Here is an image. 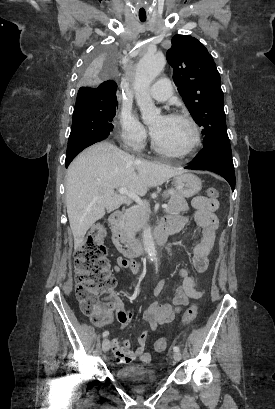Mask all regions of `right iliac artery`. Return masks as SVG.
Here are the masks:
<instances>
[{
	"label": "right iliac artery",
	"instance_id": "82829eb1",
	"mask_svg": "<svg viewBox=\"0 0 275 409\" xmlns=\"http://www.w3.org/2000/svg\"><path fill=\"white\" fill-rule=\"evenodd\" d=\"M108 335H109V331H104L102 334L103 337H107Z\"/></svg>",
	"mask_w": 275,
	"mask_h": 409
}]
</instances>
